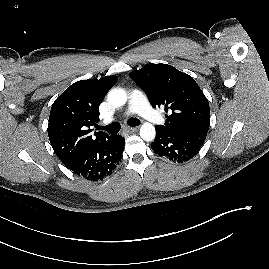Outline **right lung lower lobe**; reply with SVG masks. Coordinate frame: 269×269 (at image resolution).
Masks as SVG:
<instances>
[{
  "label": "right lung lower lobe",
  "mask_w": 269,
  "mask_h": 269,
  "mask_svg": "<svg viewBox=\"0 0 269 269\" xmlns=\"http://www.w3.org/2000/svg\"><path fill=\"white\" fill-rule=\"evenodd\" d=\"M125 139L111 135L84 151L66 167L75 174L91 181L110 175L121 160Z\"/></svg>",
  "instance_id": "right-lung-lower-lobe-1"
}]
</instances>
